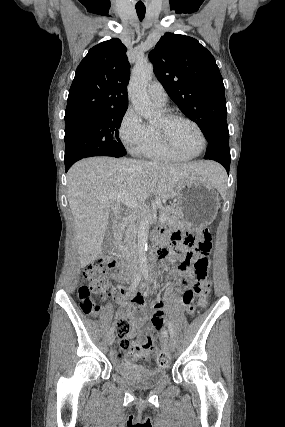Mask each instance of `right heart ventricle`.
Returning a JSON list of instances; mask_svg holds the SVG:
<instances>
[{
    "label": "right heart ventricle",
    "instance_id": "right-heart-ventricle-1",
    "mask_svg": "<svg viewBox=\"0 0 285 427\" xmlns=\"http://www.w3.org/2000/svg\"><path fill=\"white\" fill-rule=\"evenodd\" d=\"M139 154L159 161L182 162L187 158L169 149L161 140L155 125H148V138Z\"/></svg>",
    "mask_w": 285,
    "mask_h": 427
}]
</instances>
